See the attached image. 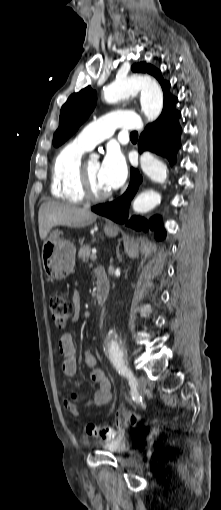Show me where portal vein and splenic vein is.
<instances>
[{
    "instance_id": "portal-vein-and-splenic-vein-1",
    "label": "portal vein and splenic vein",
    "mask_w": 221,
    "mask_h": 510,
    "mask_svg": "<svg viewBox=\"0 0 221 510\" xmlns=\"http://www.w3.org/2000/svg\"><path fill=\"white\" fill-rule=\"evenodd\" d=\"M90 259H91L92 261H95V260L97 259L96 254H95V253H93V254L90 256Z\"/></svg>"
}]
</instances>
